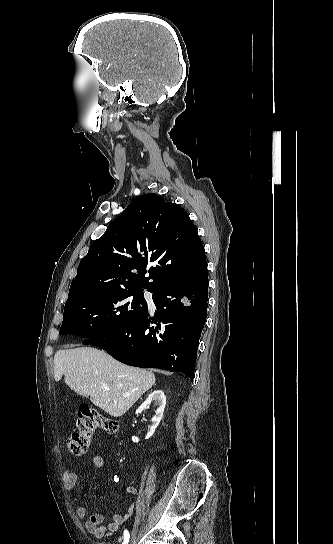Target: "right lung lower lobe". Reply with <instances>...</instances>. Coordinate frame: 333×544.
<instances>
[{"label":"right lung lower lobe","mask_w":333,"mask_h":544,"mask_svg":"<svg viewBox=\"0 0 333 544\" xmlns=\"http://www.w3.org/2000/svg\"><path fill=\"white\" fill-rule=\"evenodd\" d=\"M154 317L145 311L118 331L83 342L106 350L127 365L180 371L193 379L197 348L206 321L207 268L198 276L153 292Z\"/></svg>","instance_id":"right-lung-lower-lobe-1"}]
</instances>
